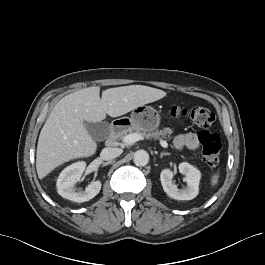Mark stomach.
I'll return each instance as SVG.
<instances>
[{"label":"stomach","mask_w":265,"mask_h":265,"mask_svg":"<svg viewBox=\"0 0 265 265\" xmlns=\"http://www.w3.org/2000/svg\"><path fill=\"white\" fill-rule=\"evenodd\" d=\"M128 127L141 131H153L160 124L159 112L151 106H138L133 109L129 118H121Z\"/></svg>","instance_id":"stomach-1"}]
</instances>
